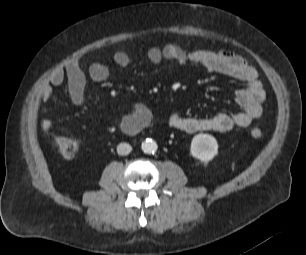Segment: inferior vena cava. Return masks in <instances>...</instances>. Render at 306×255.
Returning a JSON list of instances; mask_svg holds the SVG:
<instances>
[{"mask_svg":"<svg viewBox=\"0 0 306 255\" xmlns=\"http://www.w3.org/2000/svg\"><path fill=\"white\" fill-rule=\"evenodd\" d=\"M132 150L131 145H129L128 143H120L117 146V153L119 155H128Z\"/></svg>","mask_w":306,"mask_h":255,"instance_id":"obj_1","label":"inferior vena cava"}]
</instances>
